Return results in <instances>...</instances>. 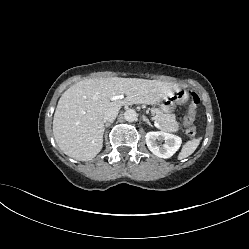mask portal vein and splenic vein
Listing matches in <instances>:
<instances>
[{
    "mask_svg": "<svg viewBox=\"0 0 249 249\" xmlns=\"http://www.w3.org/2000/svg\"><path fill=\"white\" fill-rule=\"evenodd\" d=\"M124 96L121 94V95H115L111 98L112 101H116V100H119V99H123ZM154 125L156 128L158 129H161V126L157 123V122H154Z\"/></svg>",
    "mask_w": 249,
    "mask_h": 249,
    "instance_id": "1",
    "label": "portal vein and splenic vein"
}]
</instances>
